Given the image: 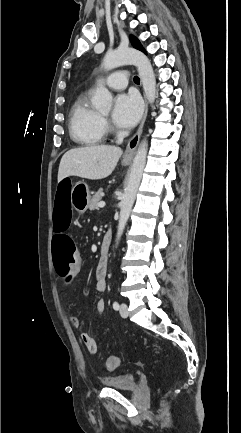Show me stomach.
Listing matches in <instances>:
<instances>
[{
    "instance_id": "0dacf381",
    "label": "stomach",
    "mask_w": 241,
    "mask_h": 433,
    "mask_svg": "<svg viewBox=\"0 0 241 433\" xmlns=\"http://www.w3.org/2000/svg\"><path fill=\"white\" fill-rule=\"evenodd\" d=\"M128 161H123V165H128ZM71 205L79 213H84L91 200L89 188L86 183L78 182L71 189Z\"/></svg>"
}]
</instances>
